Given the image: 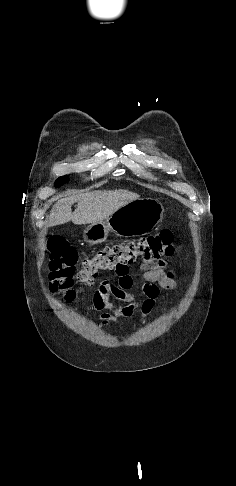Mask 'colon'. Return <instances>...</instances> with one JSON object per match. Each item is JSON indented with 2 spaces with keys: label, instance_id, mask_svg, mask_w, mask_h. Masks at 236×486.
Instances as JSON below:
<instances>
[{
  "label": "colon",
  "instance_id": "colon-1",
  "mask_svg": "<svg viewBox=\"0 0 236 486\" xmlns=\"http://www.w3.org/2000/svg\"><path fill=\"white\" fill-rule=\"evenodd\" d=\"M175 236L170 230L141 238L137 241L123 242L99 249L94 255L85 258L76 280L86 286L94 283L99 271L122 270L138 259L157 261L170 256L175 248ZM49 287L59 299L72 303L77 297L73 289L75 265L78 255L74 247L63 238L54 237L48 245Z\"/></svg>",
  "mask_w": 236,
  "mask_h": 486
}]
</instances>
